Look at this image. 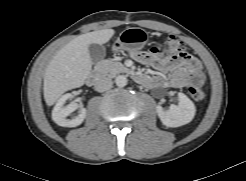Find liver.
<instances>
[{"label":"liver","instance_id":"6515ba94","mask_svg":"<svg viewBox=\"0 0 246 181\" xmlns=\"http://www.w3.org/2000/svg\"><path fill=\"white\" fill-rule=\"evenodd\" d=\"M115 31L103 29L77 36L62 47L46 68L43 94L48 106H52L68 90L81 87L92 69L90 44H105Z\"/></svg>","mask_w":246,"mask_h":181}]
</instances>
